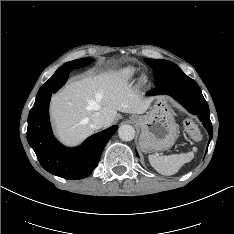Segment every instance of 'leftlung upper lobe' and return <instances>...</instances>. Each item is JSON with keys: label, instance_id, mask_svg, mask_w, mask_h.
<instances>
[{"label": "left lung upper lobe", "instance_id": "left-lung-upper-lobe-1", "mask_svg": "<svg viewBox=\"0 0 234 234\" xmlns=\"http://www.w3.org/2000/svg\"><path fill=\"white\" fill-rule=\"evenodd\" d=\"M153 68L155 85L164 83L167 80L184 76L183 71L174 63L161 59H144Z\"/></svg>", "mask_w": 234, "mask_h": 234}]
</instances>
